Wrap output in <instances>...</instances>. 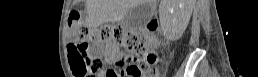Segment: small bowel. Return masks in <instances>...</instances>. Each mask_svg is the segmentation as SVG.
I'll list each match as a JSON object with an SVG mask.
<instances>
[{
  "mask_svg": "<svg viewBox=\"0 0 258 77\" xmlns=\"http://www.w3.org/2000/svg\"><path fill=\"white\" fill-rule=\"evenodd\" d=\"M123 59V54L116 49H110L107 57V62L110 64H118ZM107 77H113L114 73H107Z\"/></svg>",
  "mask_w": 258,
  "mask_h": 77,
  "instance_id": "c3829d8e",
  "label": "small bowel"
}]
</instances>
